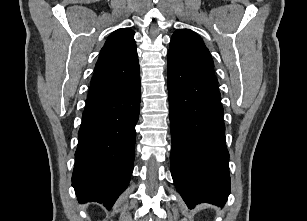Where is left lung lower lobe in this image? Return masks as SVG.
Segmentation results:
<instances>
[{
  "mask_svg": "<svg viewBox=\"0 0 307 221\" xmlns=\"http://www.w3.org/2000/svg\"><path fill=\"white\" fill-rule=\"evenodd\" d=\"M169 112L174 184L192 209L224 206L230 194L229 153L218 86L168 54Z\"/></svg>",
  "mask_w": 307,
  "mask_h": 221,
  "instance_id": "obj_1",
  "label": "left lung lower lobe"
}]
</instances>
